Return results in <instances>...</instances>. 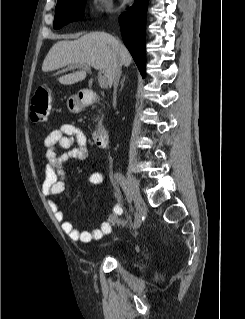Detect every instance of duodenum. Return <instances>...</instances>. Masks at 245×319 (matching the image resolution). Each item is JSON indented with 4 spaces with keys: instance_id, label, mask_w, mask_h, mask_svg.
Instances as JSON below:
<instances>
[{
    "instance_id": "obj_1",
    "label": "duodenum",
    "mask_w": 245,
    "mask_h": 319,
    "mask_svg": "<svg viewBox=\"0 0 245 319\" xmlns=\"http://www.w3.org/2000/svg\"><path fill=\"white\" fill-rule=\"evenodd\" d=\"M98 95L93 92H85L81 100L82 104L89 106L98 101ZM95 145L99 148H106L109 142V132L102 126H97L93 134Z\"/></svg>"
}]
</instances>
